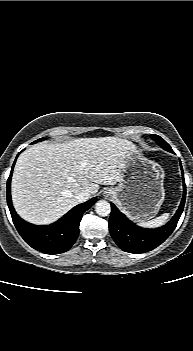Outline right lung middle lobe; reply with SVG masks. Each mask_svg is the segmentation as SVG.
<instances>
[{
  "mask_svg": "<svg viewBox=\"0 0 193 351\" xmlns=\"http://www.w3.org/2000/svg\"><path fill=\"white\" fill-rule=\"evenodd\" d=\"M42 140H44V138H40V139H38L37 141H35L34 143L39 142V141H42Z\"/></svg>",
  "mask_w": 193,
  "mask_h": 351,
  "instance_id": "obj_1",
  "label": "right lung middle lobe"
}]
</instances>
